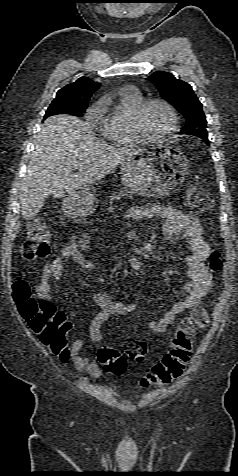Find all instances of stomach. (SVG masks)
<instances>
[{
    "label": "stomach",
    "instance_id": "stomach-1",
    "mask_svg": "<svg viewBox=\"0 0 238 476\" xmlns=\"http://www.w3.org/2000/svg\"><path fill=\"white\" fill-rule=\"evenodd\" d=\"M131 160L120 167L123 185L131 191L147 196H162L176 189L188 170L186 156L166 144H145L141 152H132ZM97 198L92 187H83L68 195L63 211L74 218L93 213Z\"/></svg>",
    "mask_w": 238,
    "mask_h": 476
}]
</instances>
